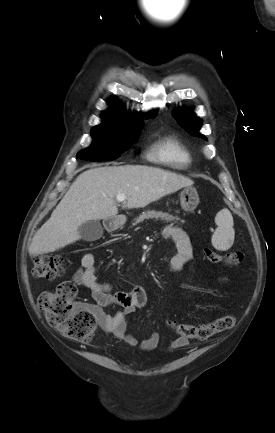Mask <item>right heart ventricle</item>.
<instances>
[{
    "mask_svg": "<svg viewBox=\"0 0 275 433\" xmlns=\"http://www.w3.org/2000/svg\"><path fill=\"white\" fill-rule=\"evenodd\" d=\"M150 157L174 168H186L191 161L185 146L175 137H166L154 145Z\"/></svg>",
    "mask_w": 275,
    "mask_h": 433,
    "instance_id": "right-heart-ventricle-1",
    "label": "right heart ventricle"
}]
</instances>
